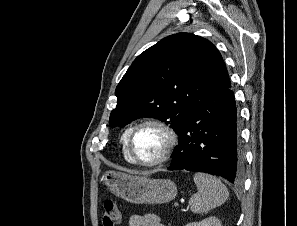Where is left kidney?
Instances as JSON below:
<instances>
[{
    "label": "left kidney",
    "mask_w": 297,
    "mask_h": 226,
    "mask_svg": "<svg viewBox=\"0 0 297 226\" xmlns=\"http://www.w3.org/2000/svg\"><path fill=\"white\" fill-rule=\"evenodd\" d=\"M185 226H221V221L218 218L211 216L199 222L188 223Z\"/></svg>",
    "instance_id": "1"
}]
</instances>
